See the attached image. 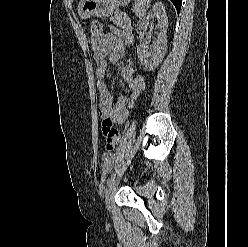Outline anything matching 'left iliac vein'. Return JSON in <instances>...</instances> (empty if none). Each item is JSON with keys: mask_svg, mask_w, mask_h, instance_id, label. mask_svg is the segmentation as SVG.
<instances>
[{"mask_svg": "<svg viewBox=\"0 0 248 247\" xmlns=\"http://www.w3.org/2000/svg\"><path fill=\"white\" fill-rule=\"evenodd\" d=\"M121 174L115 176L113 179L110 180V182L108 183V186L106 188L105 191V204L108 210L111 209V201L113 198V194L115 192V189L118 185V182L120 180Z\"/></svg>", "mask_w": 248, "mask_h": 247, "instance_id": "obj_1", "label": "left iliac vein"}]
</instances>
